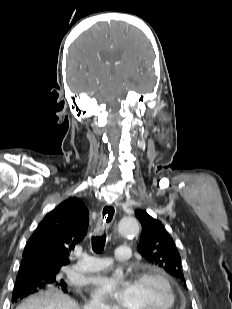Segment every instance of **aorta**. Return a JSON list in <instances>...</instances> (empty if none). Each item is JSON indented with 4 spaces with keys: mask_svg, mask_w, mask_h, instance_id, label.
Segmentation results:
<instances>
[{
    "mask_svg": "<svg viewBox=\"0 0 232 309\" xmlns=\"http://www.w3.org/2000/svg\"><path fill=\"white\" fill-rule=\"evenodd\" d=\"M118 228L121 235L125 237L136 236L139 233V224L136 218L125 216L118 222Z\"/></svg>",
    "mask_w": 232,
    "mask_h": 309,
    "instance_id": "1",
    "label": "aorta"
}]
</instances>
